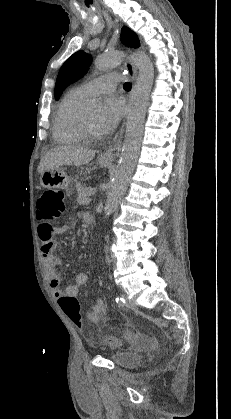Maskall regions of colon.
<instances>
[{
	"mask_svg": "<svg viewBox=\"0 0 231 419\" xmlns=\"http://www.w3.org/2000/svg\"><path fill=\"white\" fill-rule=\"evenodd\" d=\"M37 216L40 220L50 222L59 220L65 212L64 194L58 189L46 190L37 201ZM59 305L70 320L82 327L80 306L75 297L62 296ZM105 343L110 346H119L121 341L116 338H106Z\"/></svg>",
	"mask_w": 231,
	"mask_h": 419,
	"instance_id": "1",
	"label": "colon"
}]
</instances>
